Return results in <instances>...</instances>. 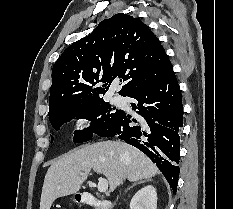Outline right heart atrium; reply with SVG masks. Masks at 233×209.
Segmentation results:
<instances>
[{"mask_svg":"<svg viewBox=\"0 0 233 209\" xmlns=\"http://www.w3.org/2000/svg\"><path fill=\"white\" fill-rule=\"evenodd\" d=\"M89 121L87 119V117L83 116V115H79L76 119H75V128L78 130V131H82L84 130L87 125H88Z\"/></svg>","mask_w":233,"mask_h":209,"instance_id":"d8ad5b80","label":"right heart atrium"}]
</instances>
